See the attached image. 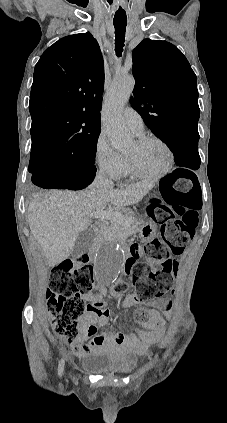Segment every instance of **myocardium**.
I'll return each mask as SVG.
<instances>
[{
	"label": "myocardium",
	"mask_w": 227,
	"mask_h": 423,
	"mask_svg": "<svg viewBox=\"0 0 227 423\" xmlns=\"http://www.w3.org/2000/svg\"><path fill=\"white\" fill-rule=\"evenodd\" d=\"M135 142L138 145H145V144L150 143V142H157L167 152L168 161H167L166 166L159 173L149 174V173H145V172L141 171L137 167L134 158L127 154V158H128L129 166H130V171L133 175H135L139 178L145 179V180L157 181V180H160V179L164 178L165 176H167L173 170L174 165H175V153H174L172 147L170 146V144L164 138L157 136V135H154V134H149V135H142V136L138 137Z\"/></svg>",
	"instance_id": "myocardium-1"
}]
</instances>
